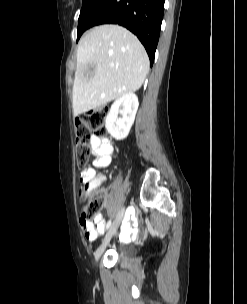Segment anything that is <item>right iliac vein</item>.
I'll return each mask as SVG.
<instances>
[{
    "label": "right iliac vein",
    "mask_w": 247,
    "mask_h": 304,
    "mask_svg": "<svg viewBox=\"0 0 247 304\" xmlns=\"http://www.w3.org/2000/svg\"><path fill=\"white\" fill-rule=\"evenodd\" d=\"M124 215V208H122L118 214L116 215L108 233L106 234L102 244L99 246V248L97 249L96 253H95V259L96 261H98L100 259V257L102 256V254L104 253L107 245L109 244L110 240L112 239V237L116 234L118 227L122 221Z\"/></svg>",
    "instance_id": "right-iliac-vein-1"
}]
</instances>
